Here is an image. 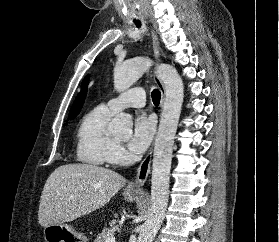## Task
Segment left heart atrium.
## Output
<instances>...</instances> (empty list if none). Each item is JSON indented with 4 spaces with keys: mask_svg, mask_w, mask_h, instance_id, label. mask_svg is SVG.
<instances>
[{
    "mask_svg": "<svg viewBox=\"0 0 279 242\" xmlns=\"http://www.w3.org/2000/svg\"><path fill=\"white\" fill-rule=\"evenodd\" d=\"M155 132V122L152 117L145 113L137 115L134 121L132 135L128 142L131 152L136 154L143 153L152 141Z\"/></svg>",
    "mask_w": 279,
    "mask_h": 242,
    "instance_id": "1",
    "label": "left heart atrium"
}]
</instances>
